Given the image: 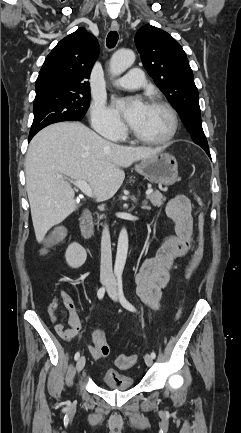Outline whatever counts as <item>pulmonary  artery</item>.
Wrapping results in <instances>:
<instances>
[{"instance_id":"e3ab8cb5","label":"pulmonary artery","mask_w":241,"mask_h":433,"mask_svg":"<svg viewBox=\"0 0 241 433\" xmlns=\"http://www.w3.org/2000/svg\"><path fill=\"white\" fill-rule=\"evenodd\" d=\"M145 84L144 74L141 69L133 68L121 79L114 82V85L127 90H137Z\"/></svg>"}]
</instances>
